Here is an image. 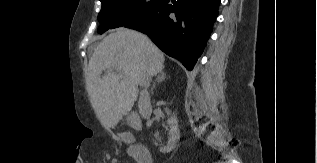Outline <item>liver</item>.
Instances as JSON below:
<instances>
[{"mask_svg": "<svg viewBox=\"0 0 317 163\" xmlns=\"http://www.w3.org/2000/svg\"><path fill=\"white\" fill-rule=\"evenodd\" d=\"M164 61L163 53L147 36L125 28L110 33L96 46L89 60L86 89L105 128L116 127L131 111L142 78L161 72ZM115 65L121 67V75L112 71Z\"/></svg>", "mask_w": 317, "mask_h": 163, "instance_id": "6515ba94", "label": "liver"}]
</instances>
